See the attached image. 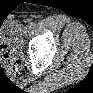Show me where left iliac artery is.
Here are the masks:
<instances>
[{
	"instance_id": "44dca946",
	"label": "left iliac artery",
	"mask_w": 93,
	"mask_h": 93,
	"mask_svg": "<svg viewBox=\"0 0 93 93\" xmlns=\"http://www.w3.org/2000/svg\"><path fill=\"white\" fill-rule=\"evenodd\" d=\"M29 26L30 27H34L35 26V23L34 22H31Z\"/></svg>"
}]
</instances>
